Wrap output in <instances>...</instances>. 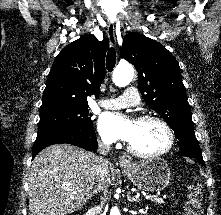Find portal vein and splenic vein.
<instances>
[{"mask_svg":"<svg viewBox=\"0 0 221 215\" xmlns=\"http://www.w3.org/2000/svg\"><path fill=\"white\" fill-rule=\"evenodd\" d=\"M151 198H156V200H162L160 198H157V196H153V195H146L145 199H151Z\"/></svg>","mask_w":221,"mask_h":215,"instance_id":"1","label":"portal vein and splenic vein"}]
</instances>
